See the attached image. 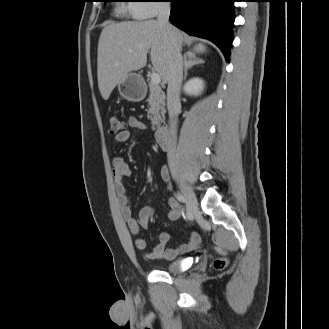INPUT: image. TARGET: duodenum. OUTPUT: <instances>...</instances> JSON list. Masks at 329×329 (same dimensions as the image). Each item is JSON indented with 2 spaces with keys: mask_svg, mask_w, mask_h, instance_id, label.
Here are the masks:
<instances>
[{
  "mask_svg": "<svg viewBox=\"0 0 329 329\" xmlns=\"http://www.w3.org/2000/svg\"><path fill=\"white\" fill-rule=\"evenodd\" d=\"M156 140L162 149H169L171 145L170 132L165 124H159L156 128Z\"/></svg>",
  "mask_w": 329,
  "mask_h": 329,
  "instance_id": "1",
  "label": "duodenum"
}]
</instances>
